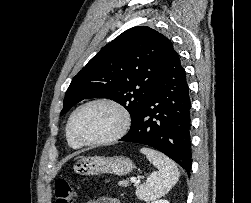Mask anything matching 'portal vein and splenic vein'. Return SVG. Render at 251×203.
Segmentation results:
<instances>
[{
	"instance_id": "obj_1",
	"label": "portal vein and splenic vein",
	"mask_w": 251,
	"mask_h": 203,
	"mask_svg": "<svg viewBox=\"0 0 251 203\" xmlns=\"http://www.w3.org/2000/svg\"><path fill=\"white\" fill-rule=\"evenodd\" d=\"M131 182L136 183L137 182L136 178L135 177L131 178Z\"/></svg>"
}]
</instances>
